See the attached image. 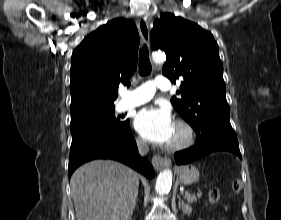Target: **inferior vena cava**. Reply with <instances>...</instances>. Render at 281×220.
Listing matches in <instances>:
<instances>
[{
    "instance_id": "1",
    "label": "inferior vena cava",
    "mask_w": 281,
    "mask_h": 220,
    "mask_svg": "<svg viewBox=\"0 0 281 220\" xmlns=\"http://www.w3.org/2000/svg\"><path fill=\"white\" fill-rule=\"evenodd\" d=\"M138 151L141 155H146L149 151V147L145 141L137 140Z\"/></svg>"
}]
</instances>
